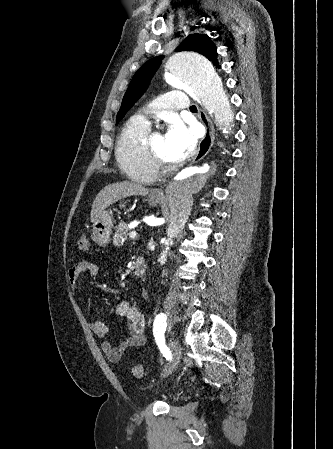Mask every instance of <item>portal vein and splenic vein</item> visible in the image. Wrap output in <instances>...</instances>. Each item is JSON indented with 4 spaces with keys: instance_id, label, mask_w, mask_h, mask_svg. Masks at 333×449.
<instances>
[{
    "instance_id": "18ae733b",
    "label": "portal vein and splenic vein",
    "mask_w": 333,
    "mask_h": 449,
    "mask_svg": "<svg viewBox=\"0 0 333 449\" xmlns=\"http://www.w3.org/2000/svg\"><path fill=\"white\" fill-rule=\"evenodd\" d=\"M137 236H138V234L136 231L129 232V238L135 239V238H137Z\"/></svg>"
}]
</instances>
